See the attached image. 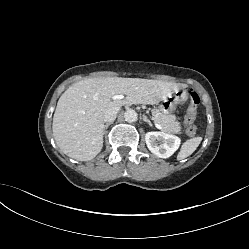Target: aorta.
<instances>
[{
  "label": "aorta",
  "instance_id": "762f6f07",
  "mask_svg": "<svg viewBox=\"0 0 249 249\" xmlns=\"http://www.w3.org/2000/svg\"><path fill=\"white\" fill-rule=\"evenodd\" d=\"M124 118L127 122H134L137 120V113L133 109H128L124 113Z\"/></svg>",
  "mask_w": 249,
  "mask_h": 249
}]
</instances>
